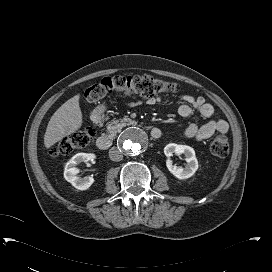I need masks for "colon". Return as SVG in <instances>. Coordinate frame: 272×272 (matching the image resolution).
Masks as SVG:
<instances>
[{
    "label": "colon",
    "mask_w": 272,
    "mask_h": 272,
    "mask_svg": "<svg viewBox=\"0 0 272 272\" xmlns=\"http://www.w3.org/2000/svg\"><path fill=\"white\" fill-rule=\"evenodd\" d=\"M114 91L134 94L144 98H152L160 94H169L177 91L176 83L155 78L150 75L109 76L92 84L86 92V101L95 103ZM90 127L80 129L62 139L51 151L54 156L66 155L85 147L94 136ZM229 140L226 135H216L210 144L211 153L217 157H225L229 153Z\"/></svg>",
    "instance_id": "obj_1"
}]
</instances>
